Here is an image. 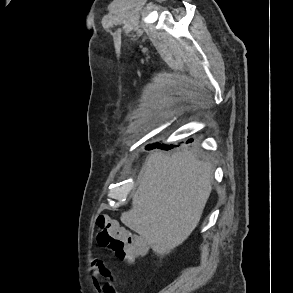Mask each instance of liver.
Returning a JSON list of instances; mask_svg holds the SVG:
<instances>
[{"mask_svg": "<svg viewBox=\"0 0 293 293\" xmlns=\"http://www.w3.org/2000/svg\"><path fill=\"white\" fill-rule=\"evenodd\" d=\"M213 168L188 150L152 153L132 208L121 214L154 252L168 254L196 228L212 190Z\"/></svg>", "mask_w": 293, "mask_h": 293, "instance_id": "1", "label": "liver"}]
</instances>
